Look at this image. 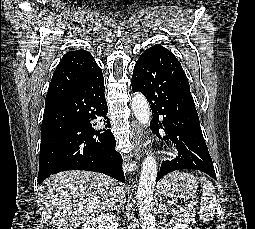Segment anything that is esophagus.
Masks as SVG:
<instances>
[{
    "mask_svg": "<svg viewBox=\"0 0 255 229\" xmlns=\"http://www.w3.org/2000/svg\"><path fill=\"white\" fill-rule=\"evenodd\" d=\"M132 141L134 144V156L139 160L142 155V128L136 121H133V130H132Z\"/></svg>",
    "mask_w": 255,
    "mask_h": 229,
    "instance_id": "34e87169",
    "label": "esophagus"
}]
</instances>
